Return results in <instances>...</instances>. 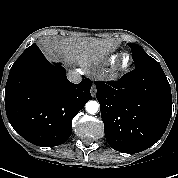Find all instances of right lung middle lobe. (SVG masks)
<instances>
[{"mask_svg": "<svg viewBox=\"0 0 178 178\" xmlns=\"http://www.w3.org/2000/svg\"><path fill=\"white\" fill-rule=\"evenodd\" d=\"M38 50H39L38 46H36L35 44H33V45H31L30 47H28V48L23 52V54L35 52V51H38Z\"/></svg>", "mask_w": 178, "mask_h": 178, "instance_id": "right-lung-middle-lobe-1", "label": "right lung middle lobe"}]
</instances>
